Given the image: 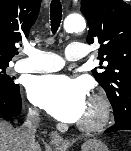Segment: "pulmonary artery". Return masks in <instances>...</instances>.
<instances>
[{
  "instance_id": "pulmonary-artery-1",
  "label": "pulmonary artery",
  "mask_w": 131,
  "mask_h": 151,
  "mask_svg": "<svg viewBox=\"0 0 131 151\" xmlns=\"http://www.w3.org/2000/svg\"><path fill=\"white\" fill-rule=\"evenodd\" d=\"M27 55V58L16 62L17 72H54L60 70L65 64L62 57L48 51L29 49ZM65 55L70 61L81 60L87 55L86 45L81 42H71L66 48Z\"/></svg>"
}]
</instances>
